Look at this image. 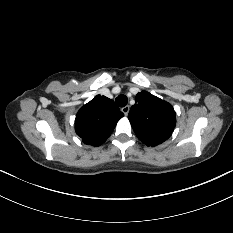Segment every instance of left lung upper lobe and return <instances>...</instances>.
<instances>
[{"instance_id":"5c2ea615","label":"left lung upper lobe","mask_w":233,"mask_h":233,"mask_svg":"<svg viewBox=\"0 0 233 233\" xmlns=\"http://www.w3.org/2000/svg\"><path fill=\"white\" fill-rule=\"evenodd\" d=\"M128 119L139 140L152 147L166 141L176 124L173 107L146 91L136 95Z\"/></svg>"}]
</instances>
